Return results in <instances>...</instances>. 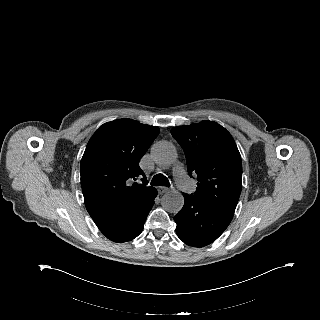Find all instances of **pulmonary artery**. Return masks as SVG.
<instances>
[{
  "mask_svg": "<svg viewBox=\"0 0 320 320\" xmlns=\"http://www.w3.org/2000/svg\"><path fill=\"white\" fill-rule=\"evenodd\" d=\"M173 176L178 186L183 187L185 185H191V181L187 177L182 165L178 164L173 168Z\"/></svg>",
  "mask_w": 320,
  "mask_h": 320,
  "instance_id": "1",
  "label": "pulmonary artery"
}]
</instances>
